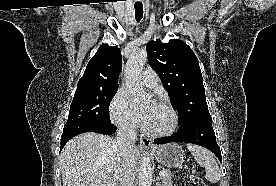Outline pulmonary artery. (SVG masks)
Returning <instances> with one entry per match:
<instances>
[{
	"label": "pulmonary artery",
	"mask_w": 276,
	"mask_h": 186,
	"mask_svg": "<svg viewBox=\"0 0 276 186\" xmlns=\"http://www.w3.org/2000/svg\"><path fill=\"white\" fill-rule=\"evenodd\" d=\"M141 79L143 84L150 88L156 87L159 82L158 75L152 69L144 70Z\"/></svg>",
	"instance_id": "e3ab8cb5"
}]
</instances>
